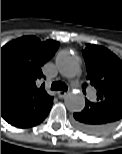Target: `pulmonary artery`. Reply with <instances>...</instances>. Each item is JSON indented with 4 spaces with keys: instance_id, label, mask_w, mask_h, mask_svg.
Returning a JSON list of instances; mask_svg holds the SVG:
<instances>
[{
    "instance_id": "pulmonary-artery-1",
    "label": "pulmonary artery",
    "mask_w": 122,
    "mask_h": 154,
    "mask_svg": "<svg viewBox=\"0 0 122 154\" xmlns=\"http://www.w3.org/2000/svg\"><path fill=\"white\" fill-rule=\"evenodd\" d=\"M74 84H75V86H77V87L79 86V82H78V81H75Z\"/></svg>"
}]
</instances>
